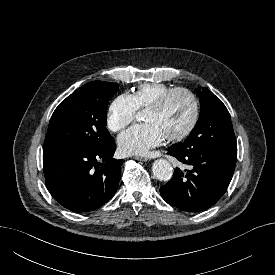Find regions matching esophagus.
<instances>
[{"mask_svg":"<svg viewBox=\"0 0 275 275\" xmlns=\"http://www.w3.org/2000/svg\"><path fill=\"white\" fill-rule=\"evenodd\" d=\"M134 158L137 159V160H139V161H147L148 160L147 157H142V156H136Z\"/></svg>","mask_w":275,"mask_h":275,"instance_id":"obj_1","label":"esophagus"}]
</instances>
